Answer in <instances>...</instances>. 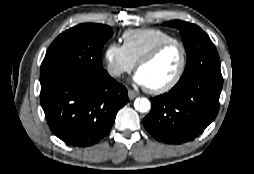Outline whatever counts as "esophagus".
Masks as SVG:
<instances>
[{
    "mask_svg": "<svg viewBox=\"0 0 254 174\" xmlns=\"http://www.w3.org/2000/svg\"><path fill=\"white\" fill-rule=\"evenodd\" d=\"M137 95L138 94L134 90H131V89L128 90V97L130 100H133L134 98H136Z\"/></svg>",
    "mask_w": 254,
    "mask_h": 174,
    "instance_id": "obj_1",
    "label": "esophagus"
}]
</instances>
